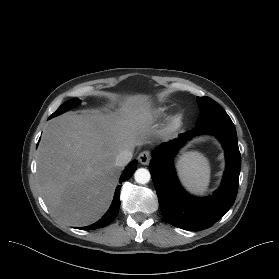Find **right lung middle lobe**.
<instances>
[{
  "label": "right lung middle lobe",
  "instance_id": "dd1d6c3e",
  "mask_svg": "<svg viewBox=\"0 0 279 279\" xmlns=\"http://www.w3.org/2000/svg\"><path fill=\"white\" fill-rule=\"evenodd\" d=\"M81 102L80 99L78 98H75V99H72V100H69L67 102H65L63 105H61L58 110L56 112H54L49 118H52V117H55L57 115H60L62 114L63 112L65 111H68L72 108H74L75 106L79 105Z\"/></svg>",
  "mask_w": 279,
  "mask_h": 279
}]
</instances>
